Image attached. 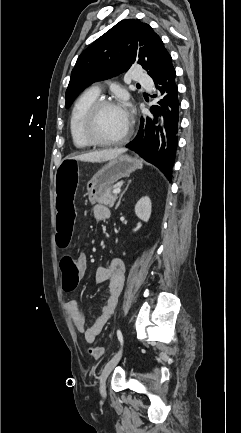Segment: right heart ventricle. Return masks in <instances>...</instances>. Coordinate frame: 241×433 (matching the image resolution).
Instances as JSON below:
<instances>
[{
	"instance_id": "e07e8e85",
	"label": "right heart ventricle",
	"mask_w": 241,
	"mask_h": 433,
	"mask_svg": "<svg viewBox=\"0 0 241 433\" xmlns=\"http://www.w3.org/2000/svg\"><path fill=\"white\" fill-rule=\"evenodd\" d=\"M97 96L98 95L91 90H87L79 96L72 108L70 115V134L74 146L79 149H86L92 146L84 135L83 121L87 111L97 100Z\"/></svg>"
}]
</instances>
